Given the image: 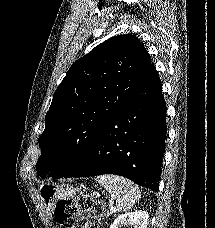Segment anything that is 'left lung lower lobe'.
Instances as JSON below:
<instances>
[{
	"label": "left lung lower lobe",
	"instance_id": "0a47b994",
	"mask_svg": "<svg viewBox=\"0 0 215 228\" xmlns=\"http://www.w3.org/2000/svg\"><path fill=\"white\" fill-rule=\"evenodd\" d=\"M166 130L162 84L152 64L87 153L57 179L115 174L158 192Z\"/></svg>",
	"mask_w": 215,
	"mask_h": 228
}]
</instances>
